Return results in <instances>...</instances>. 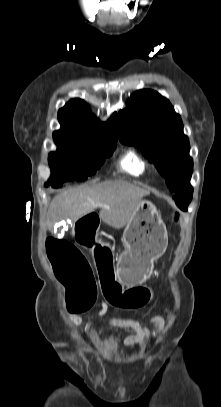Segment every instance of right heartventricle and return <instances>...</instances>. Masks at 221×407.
<instances>
[{"mask_svg": "<svg viewBox=\"0 0 221 407\" xmlns=\"http://www.w3.org/2000/svg\"><path fill=\"white\" fill-rule=\"evenodd\" d=\"M119 166L132 176H141L149 168L146 161L133 151H129L121 158Z\"/></svg>", "mask_w": 221, "mask_h": 407, "instance_id": "obj_1", "label": "right heart ventricle"}]
</instances>
